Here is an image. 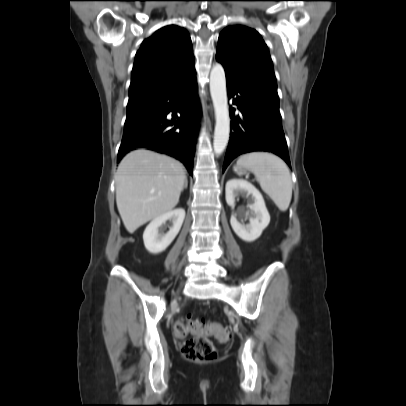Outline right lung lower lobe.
Listing matches in <instances>:
<instances>
[{
	"instance_id": "98d812e1",
	"label": "right lung lower lobe",
	"mask_w": 406,
	"mask_h": 406,
	"mask_svg": "<svg viewBox=\"0 0 406 406\" xmlns=\"http://www.w3.org/2000/svg\"><path fill=\"white\" fill-rule=\"evenodd\" d=\"M145 103L149 115L124 127L117 160L132 150L146 148L176 158L192 175L200 113L196 73Z\"/></svg>"
}]
</instances>
